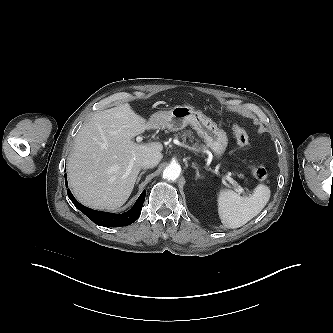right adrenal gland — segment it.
<instances>
[{
  "label": "right adrenal gland",
  "instance_id": "1",
  "mask_svg": "<svg viewBox=\"0 0 333 333\" xmlns=\"http://www.w3.org/2000/svg\"><path fill=\"white\" fill-rule=\"evenodd\" d=\"M146 171H142L140 174H139V176H138V178H137V181H136V185H138V183H139V181H140V179H141V176L145 173Z\"/></svg>",
  "mask_w": 333,
  "mask_h": 333
}]
</instances>
